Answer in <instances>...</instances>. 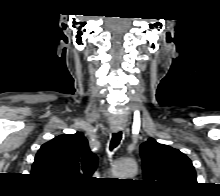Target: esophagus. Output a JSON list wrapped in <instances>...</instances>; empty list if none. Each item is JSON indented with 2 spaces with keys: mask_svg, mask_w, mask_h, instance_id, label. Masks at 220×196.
Returning <instances> with one entry per match:
<instances>
[{
  "mask_svg": "<svg viewBox=\"0 0 220 196\" xmlns=\"http://www.w3.org/2000/svg\"><path fill=\"white\" fill-rule=\"evenodd\" d=\"M111 129H112L114 132H117V131H119V130H120V128H119V127H111Z\"/></svg>",
  "mask_w": 220,
  "mask_h": 196,
  "instance_id": "obj_1",
  "label": "esophagus"
}]
</instances>
